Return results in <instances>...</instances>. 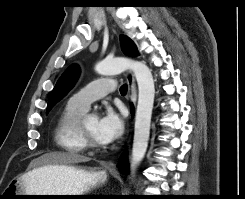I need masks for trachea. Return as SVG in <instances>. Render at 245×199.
<instances>
[{
	"label": "trachea",
	"mask_w": 245,
	"mask_h": 199,
	"mask_svg": "<svg viewBox=\"0 0 245 199\" xmlns=\"http://www.w3.org/2000/svg\"><path fill=\"white\" fill-rule=\"evenodd\" d=\"M120 93H121V95H126V93H127V85H122L121 87H120Z\"/></svg>",
	"instance_id": "obj_1"
}]
</instances>
